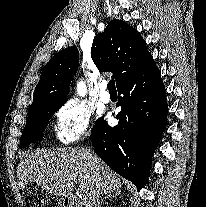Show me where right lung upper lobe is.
Here are the masks:
<instances>
[{
  "label": "right lung upper lobe",
  "instance_id": "right-lung-upper-lobe-1",
  "mask_svg": "<svg viewBox=\"0 0 206 207\" xmlns=\"http://www.w3.org/2000/svg\"><path fill=\"white\" fill-rule=\"evenodd\" d=\"M151 56L139 32L123 20L113 19L92 44L91 57L100 72L113 73L118 86ZM78 69V50L68 47L45 65L28 112L47 104L65 103L70 82Z\"/></svg>",
  "mask_w": 206,
  "mask_h": 207
}]
</instances>
